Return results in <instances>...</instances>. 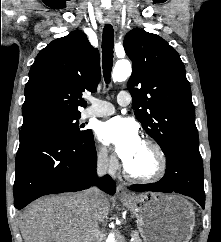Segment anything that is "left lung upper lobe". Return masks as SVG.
<instances>
[{
  "instance_id": "obj_1",
  "label": "left lung upper lobe",
  "mask_w": 221,
  "mask_h": 242,
  "mask_svg": "<svg viewBox=\"0 0 221 242\" xmlns=\"http://www.w3.org/2000/svg\"><path fill=\"white\" fill-rule=\"evenodd\" d=\"M133 63L127 87L135 116L164 154L177 144L199 145L195 109L185 67L160 36L135 28L124 39Z\"/></svg>"
}]
</instances>
